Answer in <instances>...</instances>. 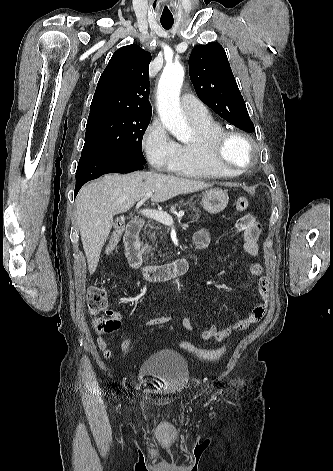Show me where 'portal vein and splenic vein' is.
I'll list each match as a JSON object with an SVG mask.
<instances>
[{
  "label": "portal vein and splenic vein",
  "mask_w": 333,
  "mask_h": 471,
  "mask_svg": "<svg viewBox=\"0 0 333 471\" xmlns=\"http://www.w3.org/2000/svg\"><path fill=\"white\" fill-rule=\"evenodd\" d=\"M153 195V192H147L145 196L137 203L136 208L138 209L149 197ZM140 213L148 218H152L154 220L159 221L162 224L170 226L173 224V218L166 212L157 211L153 209H144L141 210ZM184 216V211H179L177 213V217L181 218Z\"/></svg>",
  "instance_id": "obj_1"
}]
</instances>
